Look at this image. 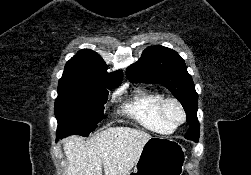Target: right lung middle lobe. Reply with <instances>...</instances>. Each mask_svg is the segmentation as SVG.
I'll list each match as a JSON object with an SVG mask.
<instances>
[{"label": "right lung middle lobe", "mask_w": 251, "mask_h": 175, "mask_svg": "<svg viewBox=\"0 0 251 175\" xmlns=\"http://www.w3.org/2000/svg\"><path fill=\"white\" fill-rule=\"evenodd\" d=\"M111 89L59 83L54 105L58 138L72 134L87 137L104 117V104Z\"/></svg>", "instance_id": "right-lung-middle-lobe-1"}]
</instances>
